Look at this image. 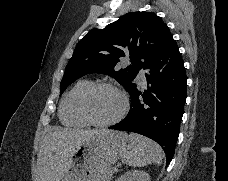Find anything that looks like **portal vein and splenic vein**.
<instances>
[{
	"label": "portal vein and splenic vein",
	"instance_id": "1",
	"mask_svg": "<svg viewBox=\"0 0 228 181\" xmlns=\"http://www.w3.org/2000/svg\"><path fill=\"white\" fill-rule=\"evenodd\" d=\"M113 170H112V173L113 174H116L117 173V170L119 169L117 166L113 165ZM119 172V171H118Z\"/></svg>",
	"mask_w": 228,
	"mask_h": 181
}]
</instances>
